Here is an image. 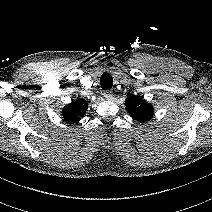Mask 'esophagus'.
<instances>
[{
    "label": "esophagus",
    "instance_id": "1",
    "mask_svg": "<svg viewBox=\"0 0 212 212\" xmlns=\"http://www.w3.org/2000/svg\"><path fill=\"white\" fill-rule=\"evenodd\" d=\"M103 96L107 99V100H111L113 98V93L112 91H104L103 92Z\"/></svg>",
    "mask_w": 212,
    "mask_h": 212
}]
</instances>
